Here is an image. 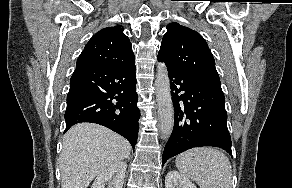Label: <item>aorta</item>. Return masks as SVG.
I'll list each match as a JSON object with an SVG mask.
<instances>
[{
  "label": "aorta",
  "mask_w": 292,
  "mask_h": 188,
  "mask_svg": "<svg viewBox=\"0 0 292 188\" xmlns=\"http://www.w3.org/2000/svg\"><path fill=\"white\" fill-rule=\"evenodd\" d=\"M155 87L159 115V128L162 138L167 139L173 130L174 107L171 97L168 71L164 62H160L157 66Z\"/></svg>",
  "instance_id": "762f6f07"
}]
</instances>
